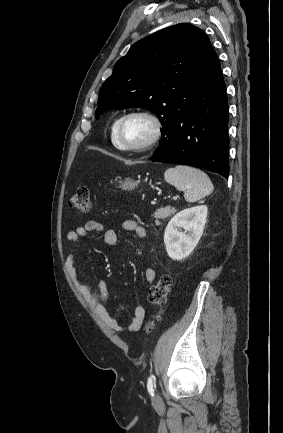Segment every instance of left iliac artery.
<instances>
[{
	"label": "left iliac artery",
	"mask_w": 283,
	"mask_h": 433,
	"mask_svg": "<svg viewBox=\"0 0 283 433\" xmlns=\"http://www.w3.org/2000/svg\"><path fill=\"white\" fill-rule=\"evenodd\" d=\"M154 379H155L154 375H151L148 378V382H147V389H148V392L151 394V396H154V388H153Z\"/></svg>",
	"instance_id": "obj_1"
}]
</instances>
